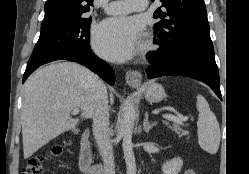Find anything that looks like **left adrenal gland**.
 I'll use <instances>...</instances> for the list:
<instances>
[{"label": "left adrenal gland", "mask_w": 249, "mask_h": 174, "mask_svg": "<svg viewBox=\"0 0 249 174\" xmlns=\"http://www.w3.org/2000/svg\"><path fill=\"white\" fill-rule=\"evenodd\" d=\"M157 124V122L149 123L148 120V112L145 113L144 121H143V129L145 132L149 133V131Z\"/></svg>", "instance_id": "obj_1"}]
</instances>
